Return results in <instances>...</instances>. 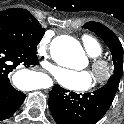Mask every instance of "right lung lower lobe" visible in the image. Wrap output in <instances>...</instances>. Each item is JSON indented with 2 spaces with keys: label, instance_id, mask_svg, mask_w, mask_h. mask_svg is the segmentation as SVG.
Instances as JSON below:
<instances>
[{
  "label": "right lung lower lobe",
  "instance_id": "right-lung-lower-lobe-1",
  "mask_svg": "<svg viewBox=\"0 0 124 124\" xmlns=\"http://www.w3.org/2000/svg\"><path fill=\"white\" fill-rule=\"evenodd\" d=\"M37 64L36 51L0 43V121L11 117L26 98L10 84L11 72L19 65L30 67Z\"/></svg>",
  "mask_w": 124,
  "mask_h": 124
}]
</instances>
